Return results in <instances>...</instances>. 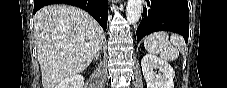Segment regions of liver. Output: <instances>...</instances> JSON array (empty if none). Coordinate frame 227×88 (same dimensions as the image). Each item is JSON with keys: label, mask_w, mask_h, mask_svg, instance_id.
<instances>
[{"label": "liver", "mask_w": 227, "mask_h": 88, "mask_svg": "<svg viewBox=\"0 0 227 88\" xmlns=\"http://www.w3.org/2000/svg\"><path fill=\"white\" fill-rule=\"evenodd\" d=\"M43 88L84 71L103 43V29L85 11L65 4L41 8L34 18Z\"/></svg>", "instance_id": "liver-1"}]
</instances>
